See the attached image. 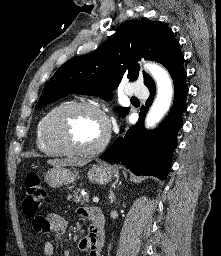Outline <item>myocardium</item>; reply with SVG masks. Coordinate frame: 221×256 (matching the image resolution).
<instances>
[{
    "instance_id": "obj_1",
    "label": "myocardium",
    "mask_w": 221,
    "mask_h": 256,
    "mask_svg": "<svg viewBox=\"0 0 221 256\" xmlns=\"http://www.w3.org/2000/svg\"><path fill=\"white\" fill-rule=\"evenodd\" d=\"M80 109L96 113L103 119L106 125V132L104 137L100 142H98L96 145L92 147L84 148L75 146L72 143H70L68 139H66L65 136L59 131V123L61 118L71 111ZM44 137L49 144L60 148L64 152V154L84 156L95 155L104 150V148L107 146L109 142V119L104 110L100 108L98 105L84 101H73L64 103L55 108L47 117L44 126Z\"/></svg>"
}]
</instances>
